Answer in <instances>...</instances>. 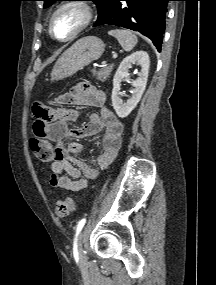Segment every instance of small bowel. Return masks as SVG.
<instances>
[{
	"mask_svg": "<svg viewBox=\"0 0 216 285\" xmlns=\"http://www.w3.org/2000/svg\"><path fill=\"white\" fill-rule=\"evenodd\" d=\"M63 104L90 105L98 109L89 115L82 127L70 128L69 125L78 117V111L63 108L57 111L35 105L33 113L35 136H46L57 143L55 158L51 164V185L64 190L77 192L88 186L89 180L95 179L99 170L106 168L116 157L122 144L123 125L118 117L106 105V95L88 83H81L60 98ZM102 134L101 150L96 158L97 166H91L75 155L82 152L81 143L67 140L86 138Z\"/></svg>",
	"mask_w": 216,
	"mask_h": 285,
	"instance_id": "1",
	"label": "small bowel"
}]
</instances>
